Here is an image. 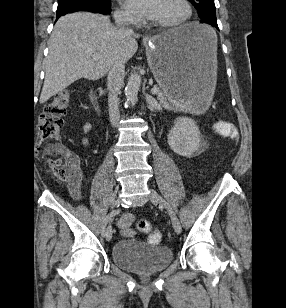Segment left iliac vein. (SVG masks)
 Instances as JSON below:
<instances>
[{
    "label": "left iliac vein",
    "instance_id": "left-iliac-vein-1",
    "mask_svg": "<svg viewBox=\"0 0 286 308\" xmlns=\"http://www.w3.org/2000/svg\"><path fill=\"white\" fill-rule=\"evenodd\" d=\"M149 198H150L151 202L158 203L159 205H161L162 207H164L168 211V213L171 217V220H172V225H173L174 231L177 234H180L181 233V224H180L179 219L176 216L173 208L171 207V205L154 189H150Z\"/></svg>",
    "mask_w": 286,
    "mask_h": 308
}]
</instances>
